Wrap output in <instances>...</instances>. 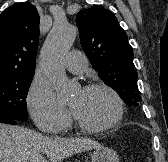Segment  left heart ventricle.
<instances>
[{
	"instance_id": "obj_1",
	"label": "left heart ventricle",
	"mask_w": 168,
	"mask_h": 162,
	"mask_svg": "<svg viewBox=\"0 0 168 162\" xmlns=\"http://www.w3.org/2000/svg\"><path fill=\"white\" fill-rule=\"evenodd\" d=\"M69 104L75 115L90 125L108 122L116 111L113 98L104 90L90 92L79 90L72 96Z\"/></svg>"
}]
</instances>
